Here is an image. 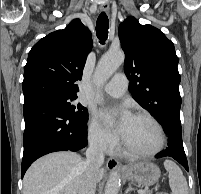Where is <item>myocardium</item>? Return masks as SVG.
Here are the masks:
<instances>
[{"instance_id": "f54148a6", "label": "myocardium", "mask_w": 201, "mask_h": 194, "mask_svg": "<svg viewBox=\"0 0 201 194\" xmlns=\"http://www.w3.org/2000/svg\"><path fill=\"white\" fill-rule=\"evenodd\" d=\"M134 117L145 118L155 125V127L157 128V131L159 133V144L157 145L156 148H154L151 151H138V150L130 147L125 142V140H123V147H124L125 152L128 153L129 155L141 157V158H149V157H153V156L159 154L165 148L166 143H167V135H166V132H165L162 124L153 115H151L150 113H147V112H137L134 115Z\"/></svg>"}]
</instances>
